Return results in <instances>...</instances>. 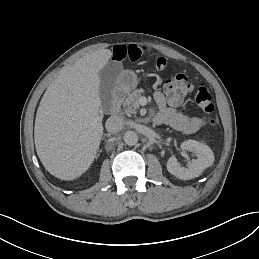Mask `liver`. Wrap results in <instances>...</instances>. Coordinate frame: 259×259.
<instances>
[{"label":"liver","mask_w":259,"mask_h":259,"mask_svg":"<svg viewBox=\"0 0 259 259\" xmlns=\"http://www.w3.org/2000/svg\"><path fill=\"white\" fill-rule=\"evenodd\" d=\"M109 49L85 54L49 85L34 126L37 154L45 169L62 180L81 176L92 164L103 134L98 73Z\"/></svg>","instance_id":"6515ba94"}]
</instances>
